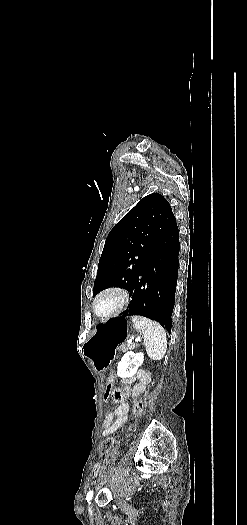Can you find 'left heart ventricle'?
I'll use <instances>...</instances> for the list:
<instances>
[{"label":"left heart ventricle","mask_w":247,"mask_h":525,"mask_svg":"<svg viewBox=\"0 0 247 525\" xmlns=\"http://www.w3.org/2000/svg\"><path fill=\"white\" fill-rule=\"evenodd\" d=\"M118 301V296L116 294H105L99 298L97 302V309L99 311H104L108 308L113 307Z\"/></svg>","instance_id":"obj_1"}]
</instances>
